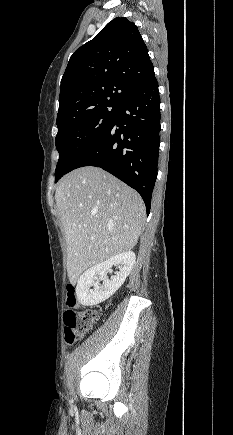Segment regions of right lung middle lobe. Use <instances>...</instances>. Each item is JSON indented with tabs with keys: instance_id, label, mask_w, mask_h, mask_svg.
Masks as SVG:
<instances>
[{
	"instance_id": "1",
	"label": "right lung middle lobe",
	"mask_w": 233,
	"mask_h": 435,
	"mask_svg": "<svg viewBox=\"0 0 233 435\" xmlns=\"http://www.w3.org/2000/svg\"><path fill=\"white\" fill-rule=\"evenodd\" d=\"M119 106L103 105L57 123L59 160L57 182L104 136L116 118Z\"/></svg>"
}]
</instances>
